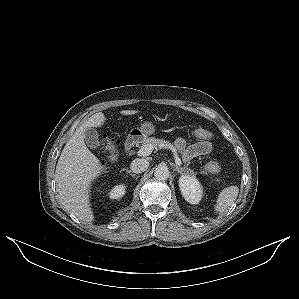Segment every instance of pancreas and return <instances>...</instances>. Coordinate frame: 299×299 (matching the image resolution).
<instances>
[{
  "instance_id": "pancreas-1",
  "label": "pancreas",
  "mask_w": 299,
  "mask_h": 299,
  "mask_svg": "<svg viewBox=\"0 0 299 299\" xmlns=\"http://www.w3.org/2000/svg\"><path fill=\"white\" fill-rule=\"evenodd\" d=\"M146 145H151L153 148L170 149V150H172L174 152H175V149H176L175 146L172 145L170 142L165 141L163 139H157V138H154V137H146V138H144L143 141H142V147H145ZM183 171L186 174L194 175L193 170H191L189 168H185L184 167Z\"/></svg>"
}]
</instances>
